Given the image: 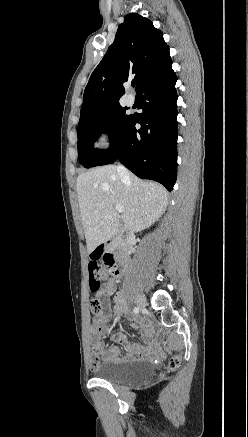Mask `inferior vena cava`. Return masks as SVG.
Masks as SVG:
<instances>
[{"label": "inferior vena cava", "mask_w": 248, "mask_h": 437, "mask_svg": "<svg viewBox=\"0 0 248 437\" xmlns=\"http://www.w3.org/2000/svg\"><path fill=\"white\" fill-rule=\"evenodd\" d=\"M117 171H118L119 175L123 178H126L129 176L128 170L123 165H118Z\"/></svg>", "instance_id": "obj_1"}]
</instances>
